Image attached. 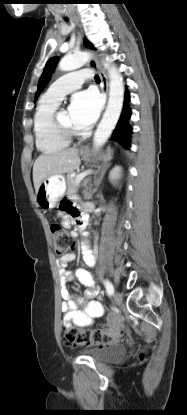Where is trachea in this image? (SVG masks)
<instances>
[{"label":"trachea","mask_w":187,"mask_h":415,"mask_svg":"<svg viewBox=\"0 0 187 415\" xmlns=\"http://www.w3.org/2000/svg\"><path fill=\"white\" fill-rule=\"evenodd\" d=\"M95 81H96V82H100V78H99V76H98V75H96V76H95Z\"/></svg>","instance_id":"3493384b"}]
</instances>
